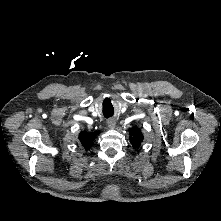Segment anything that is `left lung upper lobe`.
<instances>
[{
    "label": "left lung upper lobe",
    "instance_id": "1",
    "mask_svg": "<svg viewBox=\"0 0 221 221\" xmlns=\"http://www.w3.org/2000/svg\"><path fill=\"white\" fill-rule=\"evenodd\" d=\"M130 142L134 147L140 146L143 141V135L139 129H130Z\"/></svg>",
    "mask_w": 221,
    "mask_h": 221
}]
</instances>
